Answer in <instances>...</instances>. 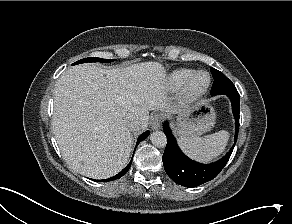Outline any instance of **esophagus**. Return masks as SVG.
Wrapping results in <instances>:
<instances>
[{"label": "esophagus", "instance_id": "34e87169", "mask_svg": "<svg viewBox=\"0 0 292 224\" xmlns=\"http://www.w3.org/2000/svg\"><path fill=\"white\" fill-rule=\"evenodd\" d=\"M162 123V117L159 114H155L151 117L150 125L153 130L160 128Z\"/></svg>", "mask_w": 292, "mask_h": 224}]
</instances>
